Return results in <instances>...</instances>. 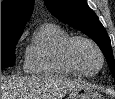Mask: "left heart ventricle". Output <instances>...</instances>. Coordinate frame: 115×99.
Wrapping results in <instances>:
<instances>
[{
    "instance_id": "obj_1",
    "label": "left heart ventricle",
    "mask_w": 115,
    "mask_h": 99,
    "mask_svg": "<svg viewBox=\"0 0 115 99\" xmlns=\"http://www.w3.org/2000/svg\"><path fill=\"white\" fill-rule=\"evenodd\" d=\"M74 58L78 65L87 72H94L100 66L96 50L86 42H77L73 48Z\"/></svg>"
}]
</instances>
